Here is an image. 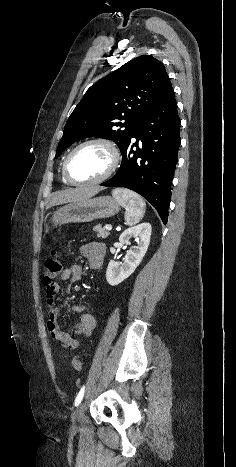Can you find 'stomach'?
Listing matches in <instances>:
<instances>
[{
	"mask_svg": "<svg viewBox=\"0 0 236 467\" xmlns=\"http://www.w3.org/2000/svg\"><path fill=\"white\" fill-rule=\"evenodd\" d=\"M119 210V203L111 196L88 198L71 202L58 209L52 217V223L57 226L66 223L91 222L114 216Z\"/></svg>",
	"mask_w": 236,
	"mask_h": 467,
	"instance_id": "obj_1",
	"label": "stomach"
}]
</instances>
